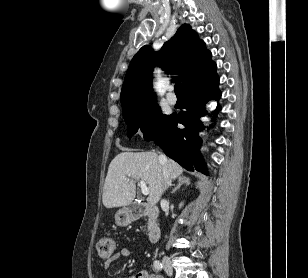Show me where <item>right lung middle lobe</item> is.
Instances as JSON below:
<instances>
[{"instance_id":"1","label":"right lung middle lobe","mask_w":308,"mask_h":278,"mask_svg":"<svg viewBox=\"0 0 308 278\" xmlns=\"http://www.w3.org/2000/svg\"><path fill=\"white\" fill-rule=\"evenodd\" d=\"M123 116L128 128V137L140 130L146 141L156 138L171 118V115H162L157 103L130 110Z\"/></svg>"}]
</instances>
